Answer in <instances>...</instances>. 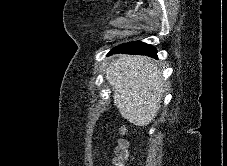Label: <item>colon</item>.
<instances>
[{
	"label": "colon",
	"mask_w": 227,
	"mask_h": 166,
	"mask_svg": "<svg viewBox=\"0 0 227 166\" xmlns=\"http://www.w3.org/2000/svg\"><path fill=\"white\" fill-rule=\"evenodd\" d=\"M131 160L129 143L125 139H120L115 151L114 166H126Z\"/></svg>",
	"instance_id": "colon-1"
}]
</instances>
